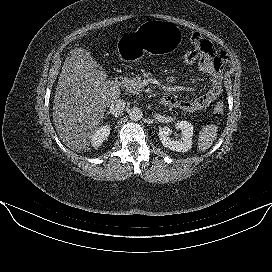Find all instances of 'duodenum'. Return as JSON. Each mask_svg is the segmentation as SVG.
I'll list each match as a JSON object with an SVG mask.
<instances>
[{"label":"duodenum","mask_w":272,"mask_h":272,"mask_svg":"<svg viewBox=\"0 0 272 272\" xmlns=\"http://www.w3.org/2000/svg\"><path fill=\"white\" fill-rule=\"evenodd\" d=\"M124 81H125V78L123 77V76H121V75H119V76H117L116 78H115V84L116 85H122L123 83H124ZM160 101H161V103H163V104H166L167 103V101H168V99H167V97L166 96H162L161 98H160Z\"/></svg>","instance_id":"410a0bca"}]
</instances>
